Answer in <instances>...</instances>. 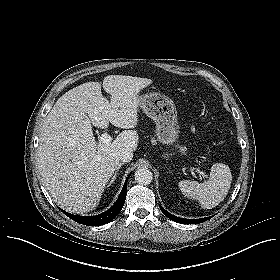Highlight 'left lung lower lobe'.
Segmentation results:
<instances>
[{
    "mask_svg": "<svg viewBox=\"0 0 280 280\" xmlns=\"http://www.w3.org/2000/svg\"><path fill=\"white\" fill-rule=\"evenodd\" d=\"M161 211L171 220L182 223V224H197V223H202L210 219L211 217H206V218H201V219H184V218H179L176 217L172 214H170L168 211H166L162 206H160Z\"/></svg>",
    "mask_w": 280,
    "mask_h": 280,
    "instance_id": "0a47b994",
    "label": "left lung lower lobe"
}]
</instances>
